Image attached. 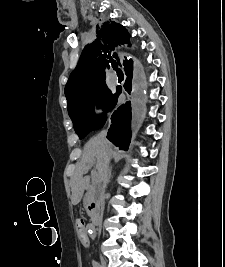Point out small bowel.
Here are the masks:
<instances>
[{
	"instance_id": "c3829d8e",
	"label": "small bowel",
	"mask_w": 225,
	"mask_h": 267,
	"mask_svg": "<svg viewBox=\"0 0 225 267\" xmlns=\"http://www.w3.org/2000/svg\"><path fill=\"white\" fill-rule=\"evenodd\" d=\"M91 229V226L88 225L85 229V235H79L78 234V237H79V240L81 241L82 244L84 245H88V242H89V230Z\"/></svg>"
}]
</instances>
